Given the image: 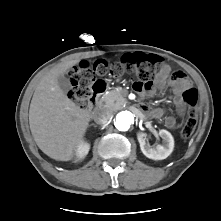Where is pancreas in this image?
Segmentation results:
<instances>
[{"label":"pancreas","mask_w":221,"mask_h":221,"mask_svg":"<svg viewBox=\"0 0 221 221\" xmlns=\"http://www.w3.org/2000/svg\"><path fill=\"white\" fill-rule=\"evenodd\" d=\"M125 95L126 93L122 89L116 88L105 93L100 100V104L103 108L109 109L120 107L125 102Z\"/></svg>","instance_id":"obj_1"}]
</instances>
